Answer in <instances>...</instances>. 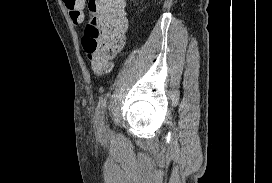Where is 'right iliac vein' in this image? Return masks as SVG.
<instances>
[{"label":"right iliac vein","mask_w":272,"mask_h":183,"mask_svg":"<svg viewBox=\"0 0 272 183\" xmlns=\"http://www.w3.org/2000/svg\"><path fill=\"white\" fill-rule=\"evenodd\" d=\"M106 126L103 124L101 126L98 127V131L101 135L105 134L106 133Z\"/></svg>","instance_id":"right-iliac-vein-1"}]
</instances>
